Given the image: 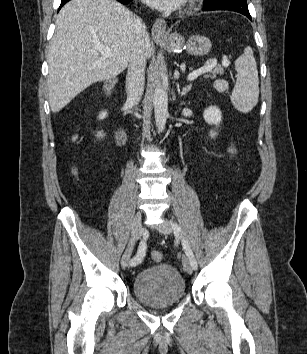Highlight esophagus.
<instances>
[{"instance_id":"esophagus-1","label":"esophagus","mask_w":307,"mask_h":354,"mask_svg":"<svg viewBox=\"0 0 307 354\" xmlns=\"http://www.w3.org/2000/svg\"><path fill=\"white\" fill-rule=\"evenodd\" d=\"M166 22L159 18L156 19L152 26V37L154 40L161 41L166 38Z\"/></svg>"}]
</instances>
